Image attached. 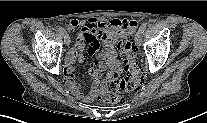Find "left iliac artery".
I'll list each match as a JSON object with an SVG mask.
<instances>
[{"label": "left iliac artery", "mask_w": 207, "mask_h": 123, "mask_svg": "<svg viewBox=\"0 0 207 123\" xmlns=\"http://www.w3.org/2000/svg\"><path fill=\"white\" fill-rule=\"evenodd\" d=\"M146 23H143L140 28H139V31H141L142 33H144L145 29H146Z\"/></svg>", "instance_id": "1"}]
</instances>
